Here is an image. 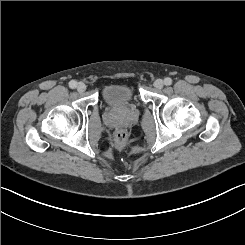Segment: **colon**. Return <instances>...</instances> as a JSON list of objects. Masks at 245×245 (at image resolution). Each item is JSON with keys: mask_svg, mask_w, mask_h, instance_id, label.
<instances>
[{"mask_svg": "<svg viewBox=\"0 0 245 245\" xmlns=\"http://www.w3.org/2000/svg\"><path fill=\"white\" fill-rule=\"evenodd\" d=\"M114 146L118 149L123 148L127 142V133L123 129H119L115 132L113 137Z\"/></svg>", "mask_w": 245, "mask_h": 245, "instance_id": "obj_1", "label": "colon"}]
</instances>
